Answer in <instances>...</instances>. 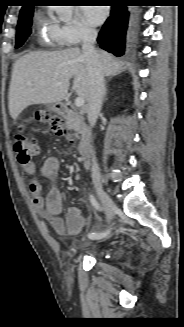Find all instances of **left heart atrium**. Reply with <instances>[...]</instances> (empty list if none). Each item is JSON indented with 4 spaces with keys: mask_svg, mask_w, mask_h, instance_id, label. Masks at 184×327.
<instances>
[{
    "mask_svg": "<svg viewBox=\"0 0 184 327\" xmlns=\"http://www.w3.org/2000/svg\"><path fill=\"white\" fill-rule=\"evenodd\" d=\"M84 15L91 24L99 25L107 16V9L100 6H88L84 8Z\"/></svg>",
    "mask_w": 184,
    "mask_h": 327,
    "instance_id": "obj_1",
    "label": "left heart atrium"
}]
</instances>
